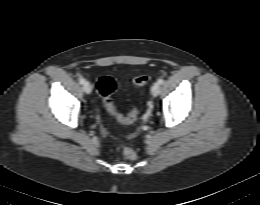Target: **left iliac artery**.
Wrapping results in <instances>:
<instances>
[{"instance_id":"1","label":"left iliac artery","mask_w":260,"mask_h":205,"mask_svg":"<svg viewBox=\"0 0 260 205\" xmlns=\"http://www.w3.org/2000/svg\"><path fill=\"white\" fill-rule=\"evenodd\" d=\"M164 80L162 78L158 79V83L161 85L163 84Z\"/></svg>"}]
</instances>
